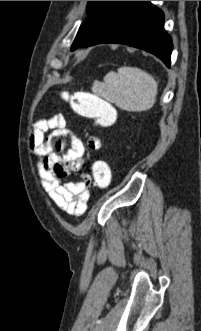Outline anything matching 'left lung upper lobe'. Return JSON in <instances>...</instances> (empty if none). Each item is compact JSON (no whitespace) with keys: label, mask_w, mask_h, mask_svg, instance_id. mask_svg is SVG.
I'll list each match as a JSON object with an SVG mask.
<instances>
[{"label":"left lung upper lobe","mask_w":201,"mask_h":331,"mask_svg":"<svg viewBox=\"0 0 201 331\" xmlns=\"http://www.w3.org/2000/svg\"><path fill=\"white\" fill-rule=\"evenodd\" d=\"M119 1H89L88 18L81 24L71 50L76 49Z\"/></svg>","instance_id":"1"}]
</instances>
